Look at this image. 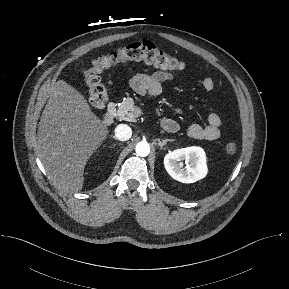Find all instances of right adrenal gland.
Wrapping results in <instances>:
<instances>
[{"label": "right adrenal gland", "mask_w": 289, "mask_h": 289, "mask_svg": "<svg viewBox=\"0 0 289 289\" xmlns=\"http://www.w3.org/2000/svg\"><path fill=\"white\" fill-rule=\"evenodd\" d=\"M111 138L114 139V140H117L116 137H114V136H111ZM118 144H120V143H118Z\"/></svg>", "instance_id": "right-adrenal-gland-1"}]
</instances>
